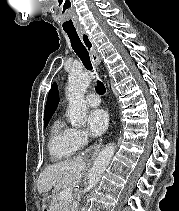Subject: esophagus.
<instances>
[{
    "label": "esophagus",
    "mask_w": 179,
    "mask_h": 211,
    "mask_svg": "<svg viewBox=\"0 0 179 211\" xmlns=\"http://www.w3.org/2000/svg\"><path fill=\"white\" fill-rule=\"evenodd\" d=\"M83 43L89 49L90 57L95 66L100 64V56L90 41L88 34L84 30L78 31ZM103 145L101 143L97 144L95 147H88V151H83L82 159H85V163H93V156H97V152H101Z\"/></svg>",
    "instance_id": "esophagus-1"
}]
</instances>
